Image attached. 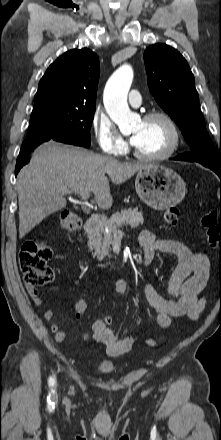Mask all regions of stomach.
<instances>
[{
    "instance_id": "1",
    "label": "stomach",
    "mask_w": 221,
    "mask_h": 440,
    "mask_svg": "<svg viewBox=\"0 0 221 440\" xmlns=\"http://www.w3.org/2000/svg\"><path fill=\"white\" fill-rule=\"evenodd\" d=\"M135 189L140 199L156 210H164L182 201L186 185L173 169L146 164L137 172Z\"/></svg>"
}]
</instances>
